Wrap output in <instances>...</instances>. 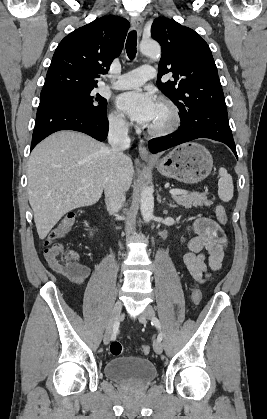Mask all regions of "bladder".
Segmentation results:
<instances>
[{"label": "bladder", "mask_w": 267, "mask_h": 419, "mask_svg": "<svg viewBox=\"0 0 267 419\" xmlns=\"http://www.w3.org/2000/svg\"><path fill=\"white\" fill-rule=\"evenodd\" d=\"M104 373L106 377L117 382L145 384L155 379L157 370L147 358L125 356L108 360Z\"/></svg>", "instance_id": "31cf9c89"}]
</instances>
